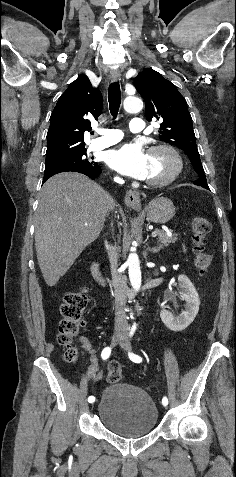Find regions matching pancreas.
Listing matches in <instances>:
<instances>
[{
    "mask_svg": "<svg viewBox=\"0 0 236 477\" xmlns=\"http://www.w3.org/2000/svg\"><path fill=\"white\" fill-rule=\"evenodd\" d=\"M158 233V241L161 243L162 246H168L171 243H175L177 241V234H173L169 236L167 233L161 230H157Z\"/></svg>",
    "mask_w": 236,
    "mask_h": 477,
    "instance_id": "cf45deb5",
    "label": "pancreas"
}]
</instances>
